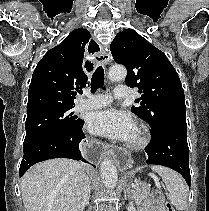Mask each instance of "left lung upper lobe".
<instances>
[{"label": "left lung upper lobe", "instance_id": "5c2ea615", "mask_svg": "<svg viewBox=\"0 0 209 211\" xmlns=\"http://www.w3.org/2000/svg\"><path fill=\"white\" fill-rule=\"evenodd\" d=\"M110 50L115 62L127 68L125 82L137 87L139 106L131 111L151 127L152 135L164 126L186 122L184 91L179 76L166 55L132 29L118 33Z\"/></svg>", "mask_w": 209, "mask_h": 211}]
</instances>
